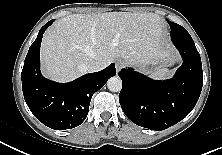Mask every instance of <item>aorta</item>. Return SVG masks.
Here are the masks:
<instances>
[{
	"instance_id": "aorta-1",
	"label": "aorta",
	"mask_w": 222,
	"mask_h": 155,
	"mask_svg": "<svg viewBox=\"0 0 222 155\" xmlns=\"http://www.w3.org/2000/svg\"><path fill=\"white\" fill-rule=\"evenodd\" d=\"M107 87L111 92H119L122 89V80L119 77H111L107 81Z\"/></svg>"
}]
</instances>
